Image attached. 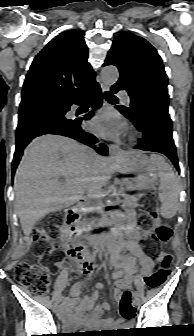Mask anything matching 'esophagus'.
<instances>
[{
	"mask_svg": "<svg viewBox=\"0 0 194 336\" xmlns=\"http://www.w3.org/2000/svg\"><path fill=\"white\" fill-rule=\"evenodd\" d=\"M101 90L102 92H106L109 90V87L104 85V84H101ZM109 154L111 157H116L118 155H122L124 154L123 150L120 148L119 145H116V144H110L109 145Z\"/></svg>",
	"mask_w": 194,
	"mask_h": 336,
	"instance_id": "obj_1",
	"label": "esophagus"
}]
</instances>
